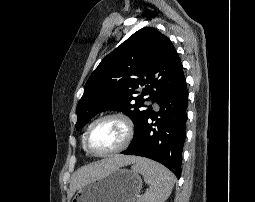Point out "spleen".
Segmentation results:
<instances>
[{
    "mask_svg": "<svg viewBox=\"0 0 255 202\" xmlns=\"http://www.w3.org/2000/svg\"><path fill=\"white\" fill-rule=\"evenodd\" d=\"M132 170L143 175L145 183L150 185L142 202H165L170 196L175 177L166 167L149 159L139 158Z\"/></svg>",
    "mask_w": 255,
    "mask_h": 202,
    "instance_id": "1",
    "label": "spleen"
}]
</instances>
